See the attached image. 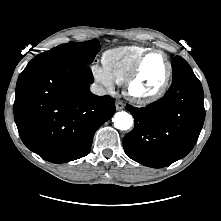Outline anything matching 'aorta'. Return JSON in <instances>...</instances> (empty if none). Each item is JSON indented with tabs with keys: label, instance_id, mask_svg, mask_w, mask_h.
Here are the masks:
<instances>
[{
	"label": "aorta",
	"instance_id": "1",
	"mask_svg": "<svg viewBox=\"0 0 221 221\" xmlns=\"http://www.w3.org/2000/svg\"><path fill=\"white\" fill-rule=\"evenodd\" d=\"M113 122L117 129L128 130L133 125V118L129 113L121 111L114 115Z\"/></svg>",
	"mask_w": 221,
	"mask_h": 221
}]
</instances>
